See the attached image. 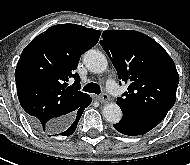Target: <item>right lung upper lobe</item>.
Here are the masks:
<instances>
[{
    "instance_id": "obj_1",
    "label": "right lung upper lobe",
    "mask_w": 190,
    "mask_h": 165,
    "mask_svg": "<svg viewBox=\"0 0 190 165\" xmlns=\"http://www.w3.org/2000/svg\"><path fill=\"white\" fill-rule=\"evenodd\" d=\"M100 31L58 24L35 37L23 50L15 70L19 102L38 130H62L90 98L81 92L75 70L81 54L95 46ZM69 78H74L68 86Z\"/></svg>"
}]
</instances>
